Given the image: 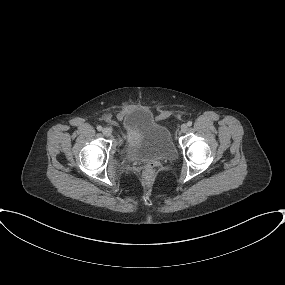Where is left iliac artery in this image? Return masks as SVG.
I'll return each mask as SVG.
<instances>
[{
	"label": "left iliac artery",
	"instance_id": "1",
	"mask_svg": "<svg viewBox=\"0 0 285 285\" xmlns=\"http://www.w3.org/2000/svg\"><path fill=\"white\" fill-rule=\"evenodd\" d=\"M187 125H188V126H192V121H188V122H187Z\"/></svg>",
	"mask_w": 285,
	"mask_h": 285
}]
</instances>
